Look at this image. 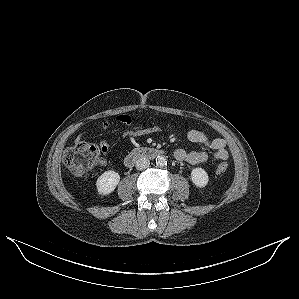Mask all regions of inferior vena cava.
<instances>
[{"label":"inferior vena cava","mask_w":299,"mask_h":299,"mask_svg":"<svg viewBox=\"0 0 299 299\" xmlns=\"http://www.w3.org/2000/svg\"><path fill=\"white\" fill-rule=\"evenodd\" d=\"M150 165V161L145 157H139L136 161V169L137 170H144L148 168Z\"/></svg>","instance_id":"obj_1"}]
</instances>
